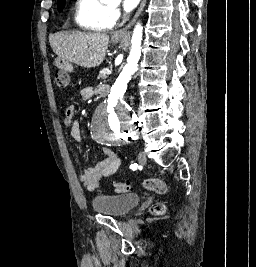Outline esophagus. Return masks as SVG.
I'll use <instances>...</instances> for the list:
<instances>
[{"label":"esophagus","instance_id":"1","mask_svg":"<svg viewBox=\"0 0 256 267\" xmlns=\"http://www.w3.org/2000/svg\"><path fill=\"white\" fill-rule=\"evenodd\" d=\"M147 0H141L140 6L138 8V10L136 11L133 19L131 20L130 23H128V25H126V27L122 28L121 30H118L117 32H115L114 36H125L128 32V30L130 29V27H132V25L135 23V21L137 20V18L139 17L140 13L142 12L145 3Z\"/></svg>","mask_w":256,"mask_h":267}]
</instances>
